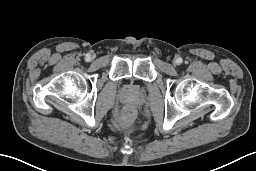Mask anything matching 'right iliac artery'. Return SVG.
Here are the masks:
<instances>
[{
    "label": "right iliac artery",
    "instance_id": "1",
    "mask_svg": "<svg viewBox=\"0 0 256 171\" xmlns=\"http://www.w3.org/2000/svg\"><path fill=\"white\" fill-rule=\"evenodd\" d=\"M89 59H90V55L86 54V60H89Z\"/></svg>",
    "mask_w": 256,
    "mask_h": 171
}]
</instances>
